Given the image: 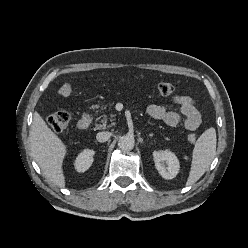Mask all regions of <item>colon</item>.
<instances>
[{
    "mask_svg": "<svg viewBox=\"0 0 248 248\" xmlns=\"http://www.w3.org/2000/svg\"><path fill=\"white\" fill-rule=\"evenodd\" d=\"M157 91L159 94L163 96H168L173 93L174 87L171 83L168 82H161L157 85ZM72 92V87L70 84H63L60 89L59 93L60 95L67 97L71 94ZM70 123V114L67 111H56L52 113L48 118H47V124L49 128L55 132L59 133L65 130ZM187 139L190 143H195L197 140V137L194 133H190L187 136Z\"/></svg>",
    "mask_w": 248,
    "mask_h": 248,
    "instance_id": "5ec220e1",
    "label": "colon"
}]
</instances>
